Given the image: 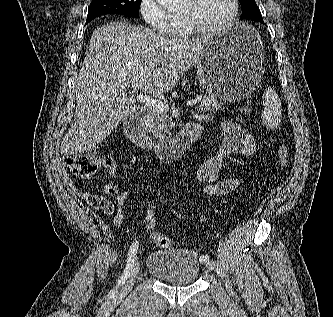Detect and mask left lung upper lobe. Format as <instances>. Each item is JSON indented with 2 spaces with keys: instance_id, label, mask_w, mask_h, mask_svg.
Listing matches in <instances>:
<instances>
[{
  "instance_id": "1",
  "label": "left lung upper lobe",
  "mask_w": 333,
  "mask_h": 317,
  "mask_svg": "<svg viewBox=\"0 0 333 317\" xmlns=\"http://www.w3.org/2000/svg\"><path fill=\"white\" fill-rule=\"evenodd\" d=\"M239 2L242 6L241 19L264 22L255 0H239Z\"/></svg>"
}]
</instances>
